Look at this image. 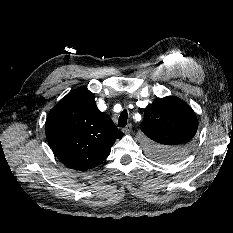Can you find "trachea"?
Here are the masks:
<instances>
[{
  "label": "trachea",
  "instance_id": "1",
  "mask_svg": "<svg viewBox=\"0 0 233 233\" xmlns=\"http://www.w3.org/2000/svg\"><path fill=\"white\" fill-rule=\"evenodd\" d=\"M128 113L126 110H123L118 119V127H125L127 125Z\"/></svg>",
  "mask_w": 233,
  "mask_h": 233
}]
</instances>
